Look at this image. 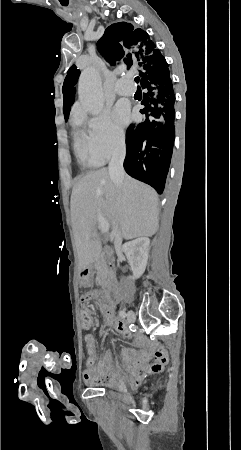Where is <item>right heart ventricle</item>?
Returning <instances> with one entry per match:
<instances>
[{
  "instance_id": "e07e8e85",
  "label": "right heart ventricle",
  "mask_w": 241,
  "mask_h": 450,
  "mask_svg": "<svg viewBox=\"0 0 241 450\" xmlns=\"http://www.w3.org/2000/svg\"><path fill=\"white\" fill-rule=\"evenodd\" d=\"M91 126L90 125H87ZM74 150L78 161L85 167H97L103 164L104 161L97 158L95 155H88L85 147V130H78L76 127L73 132Z\"/></svg>"
}]
</instances>
